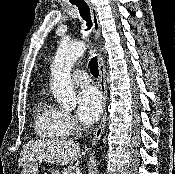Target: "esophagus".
I'll return each mask as SVG.
<instances>
[{
    "instance_id": "obj_1",
    "label": "esophagus",
    "mask_w": 175,
    "mask_h": 174,
    "mask_svg": "<svg viewBox=\"0 0 175 174\" xmlns=\"http://www.w3.org/2000/svg\"><path fill=\"white\" fill-rule=\"evenodd\" d=\"M86 2L90 8L95 39L99 41L100 34H101V27H100V22L98 18V13H97L94 3H92L91 0H86ZM97 61H98V68H99V87H100V90L103 96L104 109H103V114H102L100 123L98 127L96 128L94 135H93V139L91 142L92 146L96 145V143L100 140L104 132V128L106 124V115H107L106 113V103H107L106 69H105L103 58L100 53H97Z\"/></svg>"
}]
</instances>
